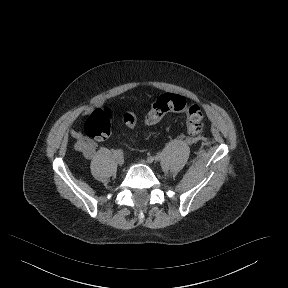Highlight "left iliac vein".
Wrapping results in <instances>:
<instances>
[{
    "label": "left iliac vein",
    "instance_id": "left-iliac-vein-1",
    "mask_svg": "<svg viewBox=\"0 0 288 288\" xmlns=\"http://www.w3.org/2000/svg\"><path fill=\"white\" fill-rule=\"evenodd\" d=\"M144 164H147V165H152L153 161L151 158H147V160H143L142 161Z\"/></svg>",
    "mask_w": 288,
    "mask_h": 288
}]
</instances>
